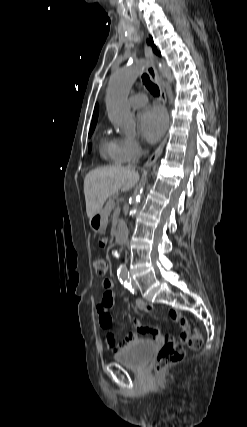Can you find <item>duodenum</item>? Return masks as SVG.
<instances>
[{
    "label": "duodenum",
    "mask_w": 247,
    "mask_h": 427,
    "mask_svg": "<svg viewBox=\"0 0 247 427\" xmlns=\"http://www.w3.org/2000/svg\"><path fill=\"white\" fill-rule=\"evenodd\" d=\"M126 225L124 223H120L115 232V240L118 244H122L125 240L126 234Z\"/></svg>",
    "instance_id": "obj_1"
}]
</instances>
